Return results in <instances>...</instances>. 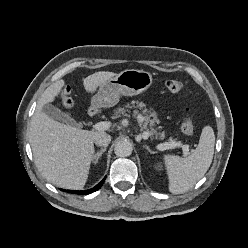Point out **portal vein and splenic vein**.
I'll use <instances>...</instances> for the list:
<instances>
[{
	"label": "portal vein and splenic vein",
	"instance_id": "1",
	"mask_svg": "<svg viewBox=\"0 0 248 248\" xmlns=\"http://www.w3.org/2000/svg\"><path fill=\"white\" fill-rule=\"evenodd\" d=\"M110 127H111V122L109 121L98 122L94 125V129L100 130V131L108 130ZM141 136L143 139H148L150 135L147 131H145L144 133H142ZM176 147H182L185 155H187L189 152V148L187 145H182V143L180 144L178 142H167V143H161L157 145V149L161 151L166 150V149L176 148Z\"/></svg>",
	"mask_w": 248,
	"mask_h": 248
}]
</instances>
